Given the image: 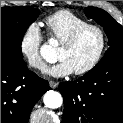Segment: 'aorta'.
<instances>
[{
    "label": "aorta",
    "instance_id": "762f6f07",
    "mask_svg": "<svg viewBox=\"0 0 123 123\" xmlns=\"http://www.w3.org/2000/svg\"><path fill=\"white\" fill-rule=\"evenodd\" d=\"M40 53L43 58L49 59L50 55L54 54V49L50 44H44L40 48ZM43 102L46 107L57 109L62 105L63 99L60 93L50 90L45 93Z\"/></svg>",
    "mask_w": 123,
    "mask_h": 123
}]
</instances>
